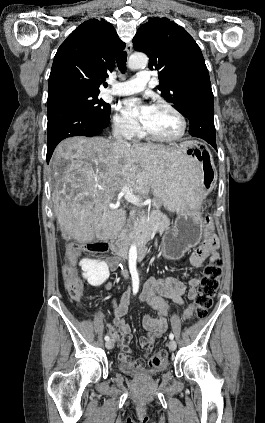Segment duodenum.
<instances>
[{
    "instance_id": "1",
    "label": "duodenum",
    "mask_w": 265,
    "mask_h": 423,
    "mask_svg": "<svg viewBox=\"0 0 265 423\" xmlns=\"http://www.w3.org/2000/svg\"><path fill=\"white\" fill-rule=\"evenodd\" d=\"M111 250L120 258L121 261L127 259V252L122 244L120 235H115L110 239ZM147 254V248L143 242L139 243V258H144Z\"/></svg>"
}]
</instances>
